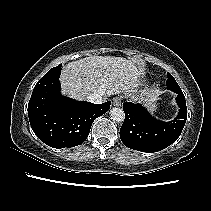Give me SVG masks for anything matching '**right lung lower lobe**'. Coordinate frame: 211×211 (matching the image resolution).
Listing matches in <instances>:
<instances>
[{
	"label": "right lung lower lobe",
	"instance_id": "1",
	"mask_svg": "<svg viewBox=\"0 0 211 211\" xmlns=\"http://www.w3.org/2000/svg\"><path fill=\"white\" fill-rule=\"evenodd\" d=\"M61 66L46 73L35 85L28 104L30 125L38 138L53 148H70L87 138L95 118L110 109L111 102L93 104L60 94Z\"/></svg>",
	"mask_w": 211,
	"mask_h": 211
}]
</instances>
